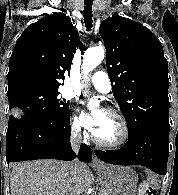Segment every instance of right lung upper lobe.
Wrapping results in <instances>:
<instances>
[{
	"instance_id": "obj_1",
	"label": "right lung upper lobe",
	"mask_w": 178,
	"mask_h": 195,
	"mask_svg": "<svg viewBox=\"0 0 178 195\" xmlns=\"http://www.w3.org/2000/svg\"><path fill=\"white\" fill-rule=\"evenodd\" d=\"M79 34L64 13H54L29 25L10 57L8 96L29 89L58 90L70 74Z\"/></svg>"
}]
</instances>
